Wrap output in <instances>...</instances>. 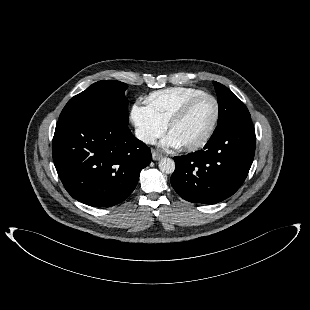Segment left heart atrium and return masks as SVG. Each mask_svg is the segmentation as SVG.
Here are the masks:
<instances>
[{
  "label": "left heart atrium",
  "mask_w": 310,
  "mask_h": 310,
  "mask_svg": "<svg viewBox=\"0 0 310 310\" xmlns=\"http://www.w3.org/2000/svg\"><path fill=\"white\" fill-rule=\"evenodd\" d=\"M160 145L164 148H176L179 147L181 144L176 138V136L170 132L162 139Z\"/></svg>",
  "instance_id": "1"
}]
</instances>
